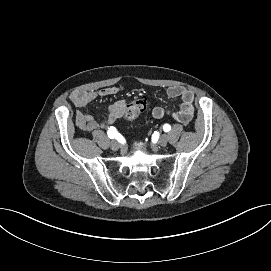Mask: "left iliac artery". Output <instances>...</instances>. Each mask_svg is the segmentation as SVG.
<instances>
[{
    "instance_id": "left-iliac-artery-1",
    "label": "left iliac artery",
    "mask_w": 271,
    "mask_h": 271,
    "mask_svg": "<svg viewBox=\"0 0 271 271\" xmlns=\"http://www.w3.org/2000/svg\"><path fill=\"white\" fill-rule=\"evenodd\" d=\"M163 129H164L165 132H169L171 130V126L169 124H165L163 126Z\"/></svg>"
}]
</instances>
